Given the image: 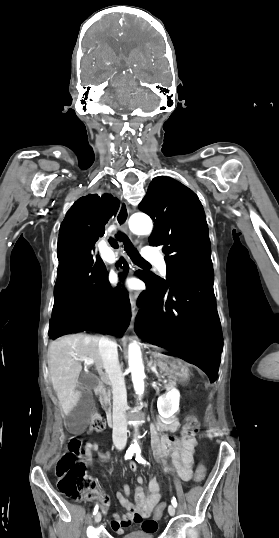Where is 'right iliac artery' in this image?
<instances>
[{"mask_svg": "<svg viewBox=\"0 0 279 538\" xmlns=\"http://www.w3.org/2000/svg\"><path fill=\"white\" fill-rule=\"evenodd\" d=\"M133 454H134V450L128 449L126 454H125V460L131 459ZM97 511H98V505L95 506L94 511H93V515H95L97 513Z\"/></svg>", "mask_w": 279, "mask_h": 538, "instance_id": "obj_1", "label": "right iliac artery"}]
</instances>
